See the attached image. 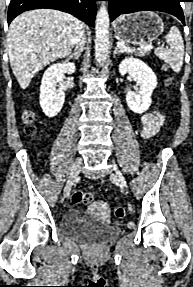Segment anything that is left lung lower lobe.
Masks as SVG:
<instances>
[{
	"label": "left lung lower lobe",
	"instance_id": "obj_1",
	"mask_svg": "<svg viewBox=\"0 0 193 287\" xmlns=\"http://www.w3.org/2000/svg\"><path fill=\"white\" fill-rule=\"evenodd\" d=\"M109 1L110 19L113 21L120 14L138 11H161L176 16L185 24L184 14L180 6L181 0H106Z\"/></svg>",
	"mask_w": 193,
	"mask_h": 287
}]
</instances>
